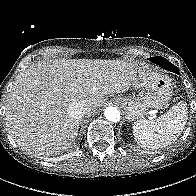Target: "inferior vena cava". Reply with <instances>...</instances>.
Masks as SVG:
<instances>
[{"mask_svg": "<svg viewBox=\"0 0 196 196\" xmlns=\"http://www.w3.org/2000/svg\"><path fill=\"white\" fill-rule=\"evenodd\" d=\"M88 108L83 103H72L68 108V114L75 119H80L87 112Z\"/></svg>", "mask_w": 196, "mask_h": 196, "instance_id": "obj_1", "label": "inferior vena cava"}]
</instances>
